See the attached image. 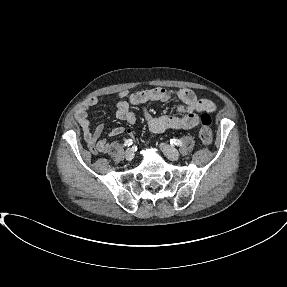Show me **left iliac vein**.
<instances>
[{
	"label": "left iliac vein",
	"mask_w": 287,
	"mask_h": 287,
	"mask_svg": "<svg viewBox=\"0 0 287 287\" xmlns=\"http://www.w3.org/2000/svg\"><path fill=\"white\" fill-rule=\"evenodd\" d=\"M160 149L164 152V154L172 161H177L180 157V153L174 147L169 144L161 143Z\"/></svg>",
	"instance_id": "1"
}]
</instances>
